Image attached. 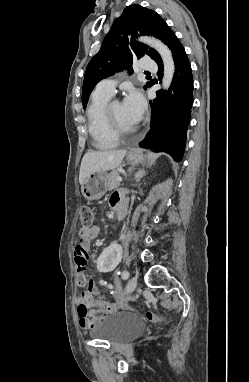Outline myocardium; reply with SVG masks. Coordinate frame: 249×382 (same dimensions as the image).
Wrapping results in <instances>:
<instances>
[{
    "instance_id": "1",
    "label": "myocardium",
    "mask_w": 249,
    "mask_h": 382,
    "mask_svg": "<svg viewBox=\"0 0 249 382\" xmlns=\"http://www.w3.org/2000/svg\"><path fill=\"white\" fill-rule=\"evenodd\" d=\"M115 102H109L106 107H105V111H104V114H105V120H106V123H107V126L109 128V130L111 131V133L116 136L117 138H120V137H124V136H128V135H132L133 133L136 132L137 128L135 127L134 129H131V130H128V129H124L122 128L114 119L113 115H112V105L114 104Z\"/></svg>"
}]
</instances>
